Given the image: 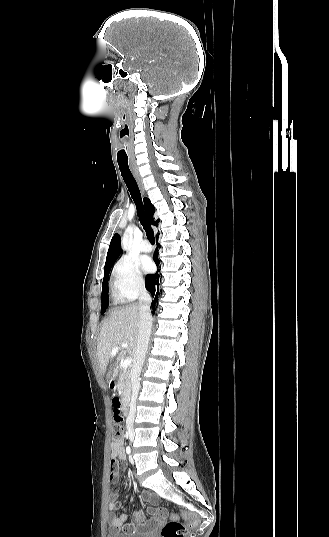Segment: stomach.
I'll return each mask as SVG.
<instances>
[{
  "instance_id": "1",
  "label": "stomach",
  "mask_w": 329,
  "mask_h": 537,
  "mask_svg": "<svg viewBox=\"0 0 329 537\" xmlns=\"http://www.w3.org/2000/svg\"><path fill=\"white\" fill-rule=\"evenodd\" d=\"M116 387H117V386L115 385V386H114V390L116 389Z\"/></svg>"
}]
</instances>
